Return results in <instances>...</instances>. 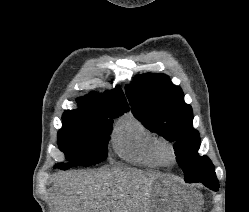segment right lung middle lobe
Instances as JSON below:
<instances>
[{
  "label": "right lung middle lobe",
  "mask_w": 249,
  "mask_h": 212,
  "mask_svg": "<svg viewBox=\"0 0 249 212\" xmlns=\"http://www.w3.org/2000/svg\"><path fill=\"white\" fill-rule=\"evenodd\" d=\"M124 112L95 108L66 110L62 116L63 127L58 132V145L70 161L57 167L66 170L104 161L113 119Z\"/></svg>",
  "instance_id": "obj_1"
}]
</instances>
